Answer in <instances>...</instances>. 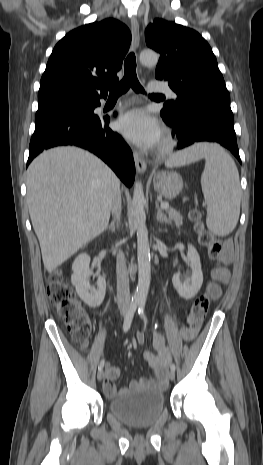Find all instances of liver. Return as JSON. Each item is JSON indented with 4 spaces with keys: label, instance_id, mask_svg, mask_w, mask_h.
Returning a JSON list of instances; mask_svg holds the SVG:
<instances>
[{
    "label": "liver",
    "instance_id": "obj_1",
    "mask_svg": "<svg viewBox=\"0 0 263 465\" xmlns=\"http://www.w3.org/2000/svg\"><path fill=\"white\" fill-rule=\"evenodd\" d=\"M26 185L32 225L49 272L107 228L120 191L118 177L103 161L70 146L36 157Z\"/></svg>",
    "mask_w": 263,
    "mask_h": 465
}]
</instances>
